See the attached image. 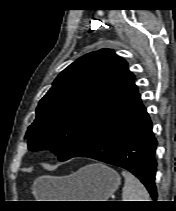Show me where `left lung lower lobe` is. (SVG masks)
<instances>
[{"mask_svg":"<svg viewBox=\"0 0 176 211\" xmlns=\"http://www.w3.org/2000/svg\"><path fill=\"white\" fill-rule=\"evenodd\" d=\"M152 123L140 97L106 120L73 157H88L133 173L156 201L155 150Z\"/></svg>","mask_w":176,"mask_h":211,"instance_id":"left-lung-lower-lobe-1","label":"left lung lower lobe"}]
</instances>
